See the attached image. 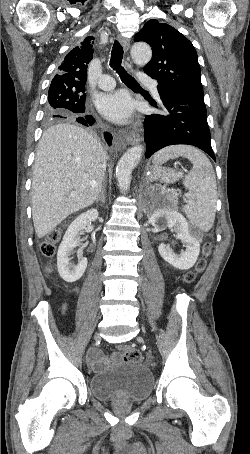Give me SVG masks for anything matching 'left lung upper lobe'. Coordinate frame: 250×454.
I'll use <instances>...</instances> for the list:
<instances>
[{
    "label": "left lung upper lobe",
    "mask_w": 250,
    "mask_h": 454,
    "mask_svg": "<svg viewBox=\"0 0 250 454\" xmlns=\"http://www.w3.org/2000/svg\"><path fill=\"white\" fill-rule=\"evenodd\" d=\"M134 40L152 47L153 56L144 71L157 80L158 89L203 93L196 50L179 31L152 19Z\"/></svg>",
    "instance_id": "5c2ea615"
}]
</instances>
